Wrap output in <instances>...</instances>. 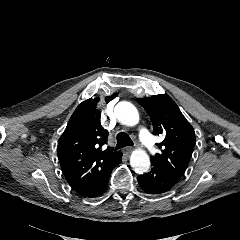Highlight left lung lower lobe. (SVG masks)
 <instances>
[{
	"label": "left lung lower lobe",
	"mask_w": 240,
	"mask_h": 240,
	"mask_svg": "<svg viewBox=\"0 0 240 240\" xmlns=\"http://www.w3.org/2000/svg\"><path fill=\"white\" fill-rule=\"evenodd\" d=\"M149 173L139 175L137 180L140 187L148 194L158 195L173 189L180 181L163 167L152 163Z\"/></svg>",
	"instance_id": "obj_1"
}]
</instances>
